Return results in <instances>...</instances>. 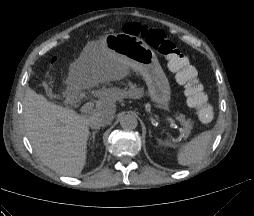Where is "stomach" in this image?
I'll use <instances>...</instances> for the list:
<instances>
[{
  "label": "stomach",
  "instance_id": "stomach-1",
  "mask_svg": "<svg viewBox=\"0 0 254 216\" xmlns=\"http://www.w3.org/2000/svg\"><path fill=\"white\" fill-rule=\"evenodd\" d=\"M114 56L121 57L129 69L142 75L156 108L168 112L172 98L169 80L155 52L138 37L127 34L104 36L87 46L85 54L75 62V67L90 71L104 66L108 58Z\"/></svg>",
  "mask_w": 254,
  "mask_h": 216
}]
</instances>
